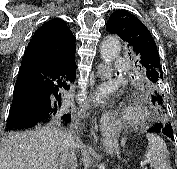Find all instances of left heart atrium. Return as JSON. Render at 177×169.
<instances>
[{
    "mask_svg": "<svg viewBox=\"0 0 177 169\" xmlns=\"http://www.w3.org/2000/svg\"><path fill=\"white\" fill-rule=\"evenodd\" d=\"M106 97H107V90L106 89H101L97 94V98L99 101H105Z\"/></svg>",
    "mask_w": 177,
    "mask_h": 169,
    "instance_id": "left-heart-atrium-1",
    "label": "left heart atrium"
}]
</instances>
